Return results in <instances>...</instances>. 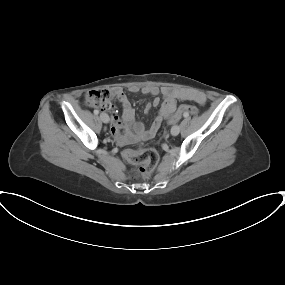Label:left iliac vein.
<instances>
[{
	"label": "left iliac vein",
	"instance_id": "obj_1",
	"mask_svg": "<svg viewBox=\"0 0 285 285\" xmlns=\"http://www.w3.org/2000/svg\"><path fill=\"white\" fill-rule=\"evenodd\" d=\"M179 132H180V128H179L178 125H174V126L171 128V134H172L173 136L178 135Z\"/></svg>",
	"mask_w": 285,
	"mask_h": 285
}]
</instances>
